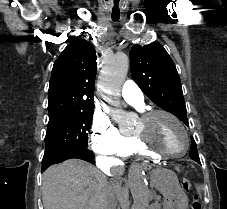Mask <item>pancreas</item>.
<instances>
[{"label":"pancreas","instance_id":"obj_1","mask_svg":"<svg viewBox=\"0 0 227 209\" xmlns=\"http://www.w3.org/2000/svg\"><path fill=\"white\" fill-rule=\"evenodd\" d=\"M156 199H160V197H156ZM153 206L157 209H163V205L161 203H155Z\"/></svg>","mask_w":227,"mask_h":209}]
</instances>
